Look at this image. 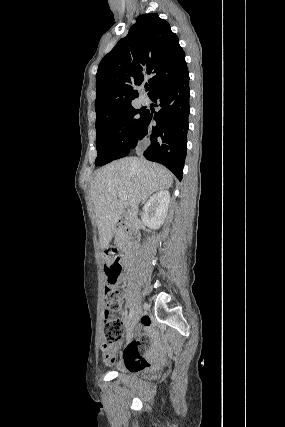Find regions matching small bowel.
Here are the masks:
<instances>
[{
    "instance_id": "small-bowel-1",
    "label": "small bowel",
    "mask_w": 285,
    "mask_h": 427,
    "mask_svg": "<svg viewBox=\"0 0 285 427\" xmlns=\"http://www.w3.org/2000/svg\"><path fill=\"white\" fill-rule=\"evenodd\" d=\"M142 325L149 328L152 323L146 319L142 321ZM162 356L161 341L152 346L147 340H132L123 353V362L131 370L148 369L158 364Z\"/></svg>"
}]
</instances>
